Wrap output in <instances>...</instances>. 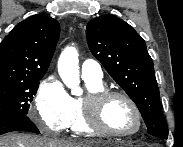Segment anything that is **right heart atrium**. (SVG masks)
Wrapping results in <instances>:
<instances>
[{
  "mask_svg": "<svg viewBox=\"0 0 183 147\" xmlns=\"http://www.w3.org/2000/svg\"><path fill=\"white\" fill-rule=\"evenodd\" d=\"M37 124L53 132L65 130L71 117V97L55 75L45 77L35 95Z\"/></svg>",
  "mask_w": 183,
  "mask_h": 147,
  "instance_id": "right-heart-atrium-1",
  "label": "right heart atrium"
}]
</instances>
